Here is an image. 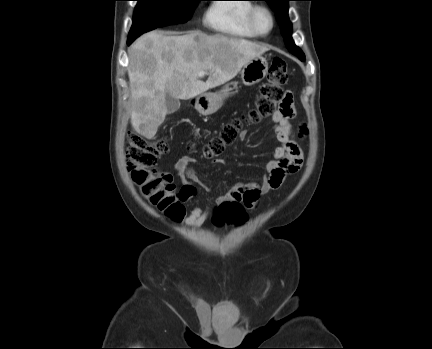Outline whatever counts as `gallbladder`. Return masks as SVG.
<instances>
[{"label":"gallbladder","mask_w":432,"mask_h":349,"mask_svg":"<svg viewBox=\"0 0 432 349\" xmlns=\"http://www.w3.org/2000/svg\"><path fill=\"white\" fill-rule=\"evenodd\" d=\"M165 105L167 108V113L172 114L176 112L180 108V101L169 94L166 95Z\"/></svg>","instance_id":"bac80fb5"}]
</instances>
